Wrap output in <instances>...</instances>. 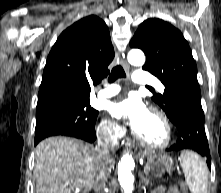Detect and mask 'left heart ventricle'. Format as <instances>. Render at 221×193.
I'll return each instance as SVG.
<instances>
[{"label": "left heart ventricle", "instance_id": "b2bd125f", "mask_svg": "<svg viewBox=\"0 0 221 193\" xmlns=\"http://www.w3.org/2000/svg\"><path fill=\"white\" fill-rule=\"evenodd\" d=\"M136 131L152 143L160 144L166 139L164 124L157 115L150 111Z\"/></svg>", "mask_w": 221, "mask_h": 193}]
</instances>
